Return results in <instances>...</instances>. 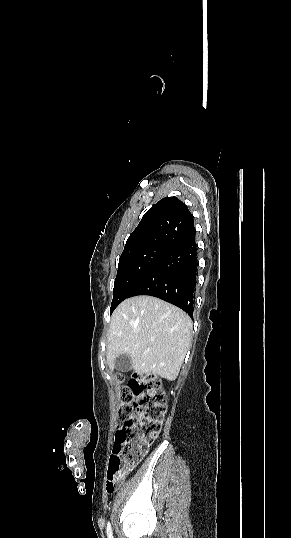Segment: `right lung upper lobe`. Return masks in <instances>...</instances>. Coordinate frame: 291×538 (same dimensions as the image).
<instances>
[{"mask_svg":"<svg viewBox=\"0 0 291 538\" xmlns=\"http://www.w3.org/2000/svg\"><path fill=\"white\" fill-rule=\"evenodd\" d=\"M195 232L188 207L176 197H165L144 214L122 254L146 246L173 248L195 236Z\"/></svg>","mask_w":291,"mask_h":538,"instance_id":"right-lung-upper-lobe-1","label":"right lung upper lobe"}]
</instances>
